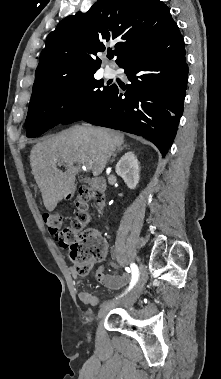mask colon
Returning a JSON list of instances; mask_svg holds the SVG:
<instances>
[{
	"label": "colon",
	"instance_id": "1",
	"mask_svg": "<svg viewBox=\"0 0 221 379\" xmlns=\"http://www.w3.org/2000/svg\"><path fill=\"white\" fill-rule=\"evenodd\" d=\"M105 197L102 187H85L76 200V215L70 225H63V217L57 213L43 215L49 233L61 247L68 249L70 262L77 274H91L90 268L105 255V247L98 232L91 227L90 205Z\"/></svg>",
	"mask_w": 221,
	"mask_h": 379
}]
</instances>
